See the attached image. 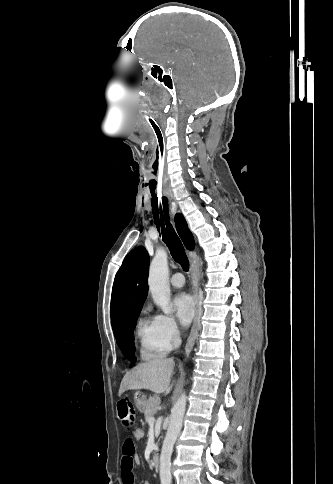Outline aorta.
<instances>
[{
    "mask_svg": "<svg viewBox=\"0 0 333 484\" xmlns=\"http://www.w3.org/2000/svg\"><path fill=\"white\" fill-rule=\"evenodd\" d=\"M148 286L156 305L164 314H170L172 310L170 307L169 269L167 254L164 250H159L151 261ZM186 401L187 397L183 393L171 411L169 427L160 454L161 484H171V456L176 439L182 429Z\"/></svg>",
    "mask_w": 333,
    "mask_h": 484,
    "instance_id": "1",
    "label": "aorta"
}]
</instances>
